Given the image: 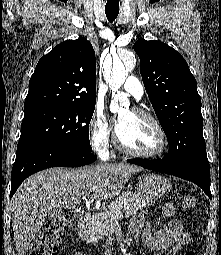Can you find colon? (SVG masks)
<instances>
[{
	"label": "colon",
	"instance_id": "1",
	"mask_svg": "<svg viewBox=\"0 0 221 255\" xmlns=\"http://www.w3.org/2000/svg\"><path fill=\"white\" fill-rule=\"evenodd\" d=\"M182 204L185 209H193L197 199L193 195H188L184 197ZM69 224V218L65 215L48 221L31 245L29 255H57V245L65 236ZM184 255H195V252L187 250Z\"/></svg>",
	"mask_w": 221,
	"mask_h": 255
}]
</instances>
